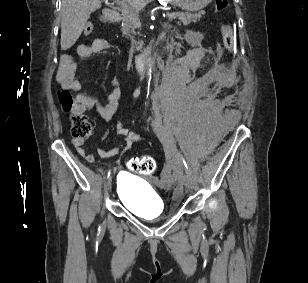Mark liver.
<instances>
[{"instance_id":"obj_1","label":"liver","mask_w":308,"mask_h":283,"mask_svg":"<svg viewBox=\"0 0 308 283\" xmlns=\"http://www.w3.org/2000/svg\"><path fill=\"white\" fill-rule=\"evenodd\" d=\"M137 9L150 0H127ZM101 8V0H62L61 7V49L72 47L80 37L91 13Z\"/></svg>"}]
</instances>
